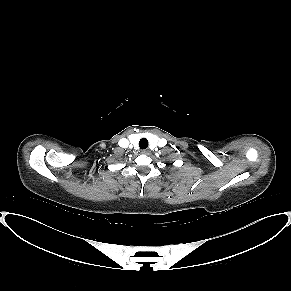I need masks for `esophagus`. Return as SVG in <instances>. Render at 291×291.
<instances>
[{
	"mask_svg": "<svg viewBox=\"0 0 291 291\" xmlns=\"http://www.w3.org/2000/svg\"><path fill=\"white\" fill-rule=\"evenodd\" d=\"M141 153L148 155L150 153V150L149 149H144V150H142Z\"/></svg>",
	"mask_w": 291,
	"mask_h": 291,
	"instance_id": "1",
	"label": "esophagus"
}]
</instances>
